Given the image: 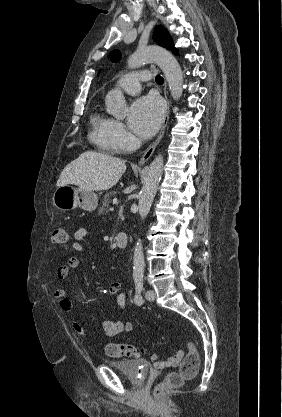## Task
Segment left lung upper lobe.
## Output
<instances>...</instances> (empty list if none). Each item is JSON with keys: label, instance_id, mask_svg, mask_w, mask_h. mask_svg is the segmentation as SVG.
I'll return each mask as SVG.
<instances>
[{"label": "left lung upper lobe", "instance_id": "obj_1", "mask_svg": "<svg viewBox=\"0 0 282 417\" xmlns=\"http://www.w3.org/2000/svg\"><path fill=\"white\" fill-rule=\"evenodd\" d=\"M153 39L158 45L162 47H165L171 51L175 49L170 34L163 26L158 25L155 27ZM108 57H110L112 61H117L120 59V52L118 50H114L108 55Z\"/></svg>", "mask_w": 282, "mask_h": 417}]
</instances>
